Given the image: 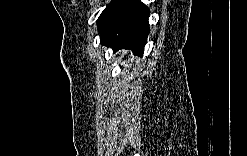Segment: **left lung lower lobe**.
Returning <instances> with one entry per match:
<instances>
[{"label":"left lung lower lobe","mask_w":247,"mask_h":156,"mask_svg":"<svg viewBox=\"0 0 247 156\" xmlns=\"http://www.w3.org/2000/svg\"><path fill=\"white\" fill-rule=\"evenodd\" d=\"M149 9L138 0H113L98 18L102 45L119 49H131L143 55L149 34Z\"/></svg>","instance_id":"0a47b994"}]
</instances>
